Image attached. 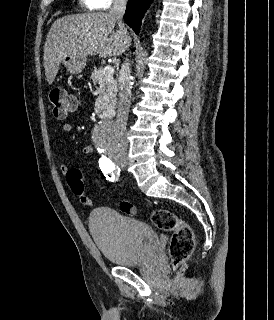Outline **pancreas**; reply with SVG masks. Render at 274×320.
<instances>
[{
    "instance_id": "cf45deb5",
    "label": "pancreas",
    "mask_w": 274,
    "mask_h": 320,
    "mask_svg": "<svg viewBox=\"0 0 274 320\" xmlns=\"http://www.w3.org/2000/svg\"><path fill=\"white\" fill-rule=\"evenodd\" d=\"M102 72L103 68H95L91 76V80H93V84L95 88H97L98 94H100L95 106L99 108V110H102V112H109V110H113L117 104V82L113 76L106 78Z\"/></svg>"
}]
</instances>
